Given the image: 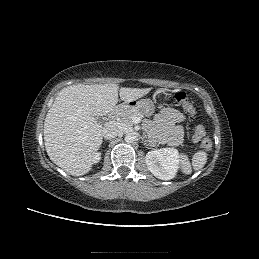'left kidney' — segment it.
<instances>
[{
	"label": "left kidney",
	"instance_id": "1",
	"mask_svg": "<svg viewBox=\"0 0 259 259\" xmlns=\"http://www.w3.org/2000/svg\"><path fill=\"white\" fill-rule=\"evenodd\" d=\"M180 154L174 148L151 150L145 161L150 172L161 180H170L176 176L180 163Z\"/></svg>",
	"mask_w": 259,
	"mask_h": 259
}]
</instances>
